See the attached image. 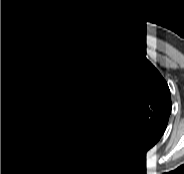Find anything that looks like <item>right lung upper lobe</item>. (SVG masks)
Here are the masks:
<instances>
[{"mask_svg": "<svg viewBox=\"0 0 184 174\" xmlns=\"http://www.w3.org/2000/svg\"><path fill=\"white\" fill-rule=\"evenodd\" d=\"M68 61L61 55L46 57L34 72L20 100L26 131L39 140L62 130L79 117L68 79Z\"/></svg>", "mask_w": 184, "mask_h": 174, "instance_id": "obj_1", "label": "right lung upper lobe"}]
</instances>
